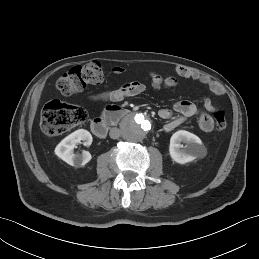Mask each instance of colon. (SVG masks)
Segmentation results:
<instances>
[{"instance_id":"colon-1","label":"colon","mask_w":259,"mask_h":259,"mask_svg":"<svg viewBox=\"0 0 259 259\" xmlns=\"http://www.w3.org/2000/svg\"><path fill=\"white\" fill-rule=\"evenodd\" d=\"M104 79L103 68L98 62L76 66L64 73L56 82L58 91L65 96L76 94L86 86L101 83ZM216 129L223 132L227 120L222 109L213 111ZM88 119L87 111L79 106L59 100L48 102L41 114V128L49 136L61 135L71 128L83 124Z\"/></svg>"}]
</instances>
